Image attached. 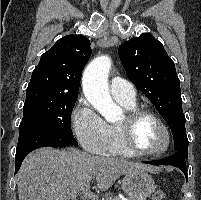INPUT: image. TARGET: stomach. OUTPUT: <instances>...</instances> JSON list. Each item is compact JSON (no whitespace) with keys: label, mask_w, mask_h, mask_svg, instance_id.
Wrapping results in <instances>:
<instances>
[{"label":"stomach","mask_w":201,"mask_h":200,"mask_svg":"<svg viewBox=\"0 0 201 200\" xmlns=\"http://www.w3.org/2000/svg\"><path fill=\"white\" fill-rule=\"evenodd\" d=\"M122 189L129 200H147L155 191V182L148 173L133 171L123 178Z\"/></svg>","instance_id":"0dacf381"}]
</instances>
